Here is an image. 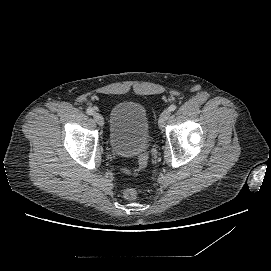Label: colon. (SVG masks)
Here are the masks:
<instances>
[{"label": "colon", "instance_id": "colon-1", "mask_svg": "<svg viewBox=\"0 0 271 271\" xmlns=\"http://www.w3.org/2000/svg\"><path fill=\"white\" fill-rule=\"evenodd\" d=\"M146 164V157L143 156L142 158H140L139 160V167L142 168L144 167ZM138 195H139V192L137 189L135 188H127L125 191H124V197L127 199V200H135L138 198Z\"/></svg>", "mask_w": 271, "mask_h": 271}]
</instances>
